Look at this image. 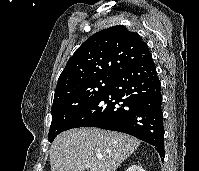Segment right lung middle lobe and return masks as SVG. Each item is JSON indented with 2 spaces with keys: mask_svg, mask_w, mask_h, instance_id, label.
<instances>
[{
  "mask_svg": "<svg viewBox=\"0 0 199 171\" xmlns=\"http://www.w3.org/2000/svg\"><path fill=\"white\" fill-rule=\"evenodd\" d=\"M114 79L115 76L90 79L55 99L51 108L52 123L48 140L52 142L59 133L63 132L75 115L108 88Z\"/></svg>",
  "mask_w": 199,
  "mask_h": 171,
  "instance_id": "right-lung-middle-lobe-1",
  "label": "right lung middle lobe"
}]
</instances>
